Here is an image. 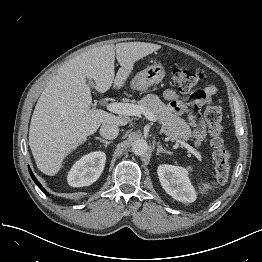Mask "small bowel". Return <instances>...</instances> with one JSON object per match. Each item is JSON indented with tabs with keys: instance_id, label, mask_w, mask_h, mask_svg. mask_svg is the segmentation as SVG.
Instances as JSON below:
<instances>
[{
	"instance_id": "c3829d8e",
	"label": "small bowel",
	"mask_w": 262,
	"mask_h": 262,
	"mask_svg": "<svg viewBox=\"0 0 262 262\" xmlns=\"http://www.w3.org/2000/svg\"><path fill=\"white\" fill-rule=\"evenodd\" d=\"M216 93L217 89L215 86L207 85L202 91L196 93L195 97L193 98V103L195 104L196 108L209 105ZM164 98L169 102L170 106L176 114H179L183 111L181 101L175 91L170 89L166 90L164 93ZM188 122L193 130L195 142L200 144L205 134V126L201 118L197 114L190 113L188 115Z\"/></svg>"
}]
</instances>
